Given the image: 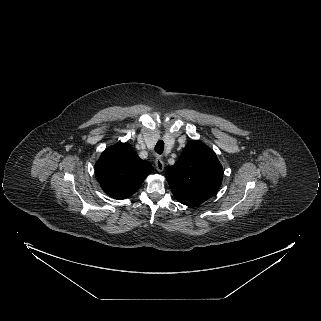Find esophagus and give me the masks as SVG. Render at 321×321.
I'll use <instances>...</instances> for the list:
<instances>
[{"label":"esophagus","mask_w":321,"mask_h":321,"mask_svg":"<svg viewBox=\"0 0 321 321\" xmlns=\"http://www.w3.org/2000/svg\"><path fill=\"white\" fill-rule=\"evenodd\" d=\"M155 167L158 172H162L164 170V162L160 158H156L155 160Z\"/></svg>","instance_id":"34e87169"}]
</instances>
